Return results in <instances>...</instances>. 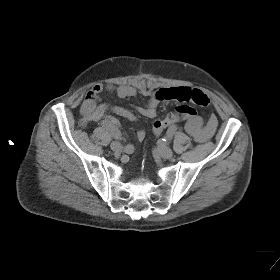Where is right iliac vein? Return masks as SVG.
I'll use <instances>...</instances> for the list:
<instances>
[{
	"instance_id": "obj_1",
	"label": "right iliac vein",
	"mask_w": 280,
	"mask_h": 280,
	"mask_svg": "<svg viewBox=\"0 0 280 280\" xmlns=\"http://www.w3.org/2000/svg\"><path fill=\"white\" fill-rule=\"evenodd\" d=\"M110 148L111 150L115 151V152H119L122 148L121 144L117 141H114L110 144Z\"/></svg>"
}]
</instances>
